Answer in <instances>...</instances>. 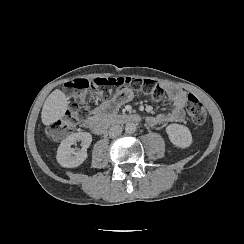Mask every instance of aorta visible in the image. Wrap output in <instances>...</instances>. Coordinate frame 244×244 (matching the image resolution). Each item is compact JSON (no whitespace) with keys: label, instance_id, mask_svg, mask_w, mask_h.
I'll return each mask as SVG.
<instances>
[{"label":"aorta","instance_id":"1","mask_svg":"<svg viewBox=\"0 0 244 244\" xmlns=\"http://www.w3.org/2000/svg\"><path fill=\"white\" fill-rule=\"evenodd\" d=\"M137 126L135 123L129 122L125 125V131L126 133L132 134L136 131Z\"/></svg>","mask_w":244,"mask_h":244}]
</instances>
